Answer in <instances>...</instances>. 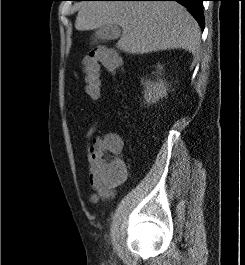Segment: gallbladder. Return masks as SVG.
Here are the masks:
<instances>
[{"instance_id": "obj_1", "label": "gallbladder", "mask_w": 245, "mask_h": 265, "mask_svg": "<svg viewBox=\"0 0 245 265\" xmlns=\"http://www.w3.org/2000/svg\"><path fill=\"white\" fill-rule=\"evenodd\" d=\"M121 35V30L117 25H104L95 30L94 40L111 41L117 40Z\"/></svg>"}]
</instances>
